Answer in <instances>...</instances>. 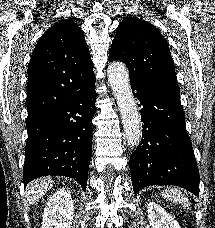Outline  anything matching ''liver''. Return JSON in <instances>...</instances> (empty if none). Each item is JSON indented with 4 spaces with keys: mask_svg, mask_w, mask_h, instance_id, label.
I'll use <instances>...</instances> for the list:
<instances>
[{
    "mask_svg": "<svg viewBox=\"0 0 215 228\" xmlns=\"http://www.w3.org/2000/svg\"><path fill=\"white\" fill-rule=\"evenodd\" d=\"M52 178H40V180H34L30 182L26 188V198L28 204L33 206L36 202H39L40 198H43L44 194L53 188Z\"/></svg>",
    "mask_w": 215,
    "mask_h": 228,
    "instance_id": "obj_1",
    "label": "liver"
}]
</instances>
